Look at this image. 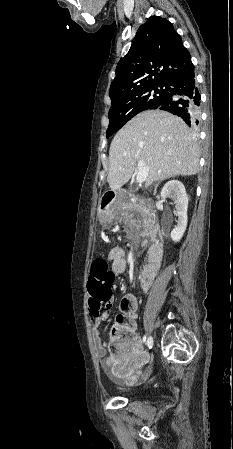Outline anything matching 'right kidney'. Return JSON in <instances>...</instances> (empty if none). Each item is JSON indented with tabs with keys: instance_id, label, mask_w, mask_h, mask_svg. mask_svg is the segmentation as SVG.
I'll return each instance as SVG.
<instances>
[{
	"instance_id": "right-kidney-1",
	"label": "right kidney",
	"mask_w": 233,
	"mask_h": 449,
	"mask_svg": "<svg viewBox=\"0 0 233 449\" xmlns=\"http://www.w3.org/2000/svg\"><path fill=\"white\" fill-rule=\"evenodd\" d=\"M161 198H171L174 201L178 220L177 225L170 234V237L174 242H178L186 230L188 221V197L183 183L178 180L168 181L161 191Z\"/></svg>"
}]
</instances>
